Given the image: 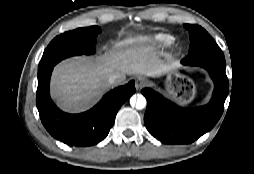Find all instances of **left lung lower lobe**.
<instances>
[{
  "instance_id": "left-lung-lower-lobe-1",
  "label": "left lung lower lobe",
  "mask_w": 254,
  "mask_h": 174,
  "mask_svg": "<svg viewBox=\"0 0 254 174\" xmlns=\"http://www.w3.org/2000/svg\"><path fill=\"white\" fill-rule=\"evenodd\" d=\"M183 65L206 69L215 89L210 102L194 109L181 108L150 88L142 90L147 99L144 123L152 136L165 144H188L210 131L221 117L228 95L225 64L216 61H181Z\"/></svg>"
}]
</instances>
